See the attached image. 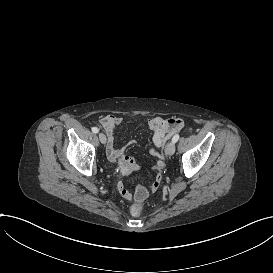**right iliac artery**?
<instances>
[{
  "mask_svg": "<svg viewBox=\"0 0 273 273\" xmlns=\"http://www.w3.org/2000/svg\"><path fill=\"white\" fill-rule=\"evenodd\" d=\"M92 132H93V133H98V132H99V129H98L97 127H93V128H92Z\"/></svg>",
  "mask_w": 273,
  "mask_h": 273,
  "instance_id": "right-iliac-artery-1",
  "label": "right iliac artery"
}]
</instances>
